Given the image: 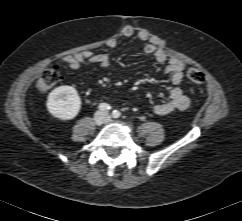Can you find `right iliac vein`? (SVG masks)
Instances as JSON below:
<instances>
[{
  "mask_svg": "<svg viewBox=\"0 0 242 221\" xmlns=\"http://www.w3.org/2000/svg\"><path fill=\"white\" fill-rule=\"evenodd\" d=\"M104 121V114L102 112H97L94 116V122L96 125H101Z\"/></svg>",
  "mask_w": 242,
  "mask_h": 221,
  "instance_id": "1",
  "label": "right iliac vein"
}]
</instances>
